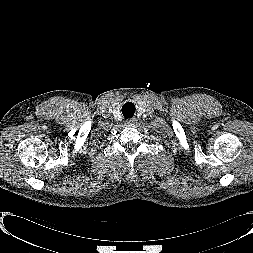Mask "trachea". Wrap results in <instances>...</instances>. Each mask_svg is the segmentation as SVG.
Instances as JSON below:
<instances>
[{
	"label": "trachea",
	"mask_w": 253,
	"mask_h": 253,
	"mask_svg": "<svg viewBox=\"0 0 253 253\" xmlns=\"http://www.w3.org/2000/svg\"><path fill=\"white\" fill-rule=\"evenodd\" d=\"M122 112L126 119L131 118L135 113V107L131 104H126L123 106Z\"/></svg>",
	"instance_id": "trachea-1"
}]
</instances>
